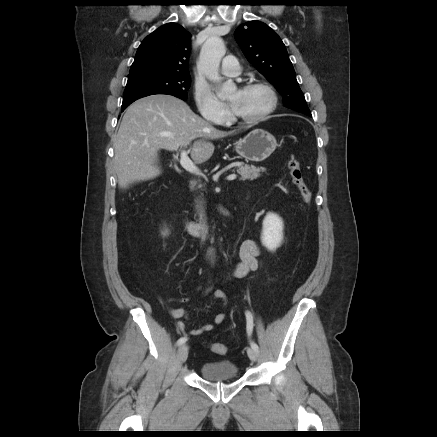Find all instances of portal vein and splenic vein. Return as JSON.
<instances>
[{
    "instance_id": "portal-vein-and-splenic-vein-1",
    "label": "portal vein and splenic vein",
    "mask_w": 437,
    "mask_h": 437,
    "mask_svg": "<svg viewBox=\"0 0 437 437\" xmlns=\"http://www.w3.org/2000/svg\"><path fill=\"white\" fill-rule=\"evenodd\" d=\"M180 164L181 166L188 172L196 174V175H200L201 172L198 169V167L190 160V158L188 157V153L185 150H182L181 155H180ZM236 179V175L235 174H231L227 177V180H234Z\"/></svg>"
}]
</instances>
